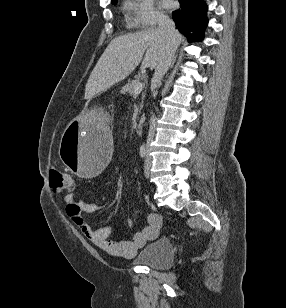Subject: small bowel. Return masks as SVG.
I'll return each mask as SVG.
<instances>
[{"instance_id":"1","label":"small bowel","mask_w":286,"mask_h":308,"mask_svg":"<svg viewBox=\"0 0 286 308\" xmlns=\"http://www.w3.org/2000/svg\"><path fill=\"white\" fill-rule=\"evenodd\" d=\"M63 201L67 216L80 232L101 250L120 258L133 257L148 241L157 238L162 223L157 213H149L146 226L141 231L133 233L127 240H113L110 238L113 232L112 225L94 229L84 217L86 213L97 212L103 205L79 201L72 193L66 194Z\"/></svg>"}]
</instances>
